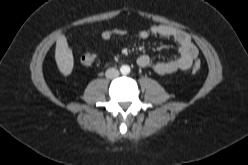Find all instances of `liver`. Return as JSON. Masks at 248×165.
<instances>
[{"instance_id":"6515ba94","label":"liver","mask_w":248,"mask_h":165,"mask_svg":"<svg viewBox=\"0 0 248 165\" xmlns=\"http://www.w3.org/2000/svg\"><path fill=\"white\" fill-rule=\"evenodd\" d=\"M55 60L60 72L67 76L73 70L74 59L71 48H69L65 35H60L56 41Z\"/></svg>"}]
</instances>
